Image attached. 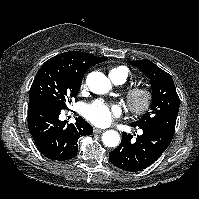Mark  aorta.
I'll return each mask as SVG.
<instances>
[{
  "instance_id": "762f6f07",
  "label": "aorta",
  "mask_w": 199,
  "mask_h": 199,
  "mask_svg": "<svg viewBox=\"0 0 199 199\" xmlns=\"http://www.w3.org/2000/svg\"><path fill=\"white\" fill-rule=\"evenodd\" d=\"M87 86L95 94H105L111 89L110 80L101 72H91L86 79ZM102 142L107 147H117L120 135L114 130H108L102 135Z\"/></svg>"
}]
</instances>
